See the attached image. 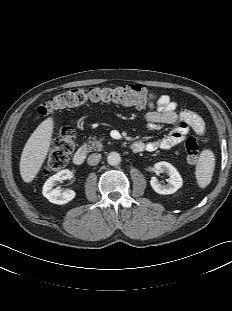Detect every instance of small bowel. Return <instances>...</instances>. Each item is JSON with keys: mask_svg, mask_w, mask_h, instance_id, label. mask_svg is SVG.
<instances>
[{"mask_svg": "<svg viewBox=\"0 0 232 311\" xmlns=\"http://www.w3.org/2000/svg\"><path fill=\"white\" fill-rule=\"evenodd\" d=\"M156 101V109L147 111L144 120L148 131H156L164 124H176V127L164 138L144 143L145 150H170L182 143L190 132L203 136L205 125L203 119L194 111L179 109L178 104L168 95L151 94Z\"/></svg>", "mask_w": 232, "mask_h": 311, "instance_id": "c3829d8e", "label": "small bowel"}]
</instances>
